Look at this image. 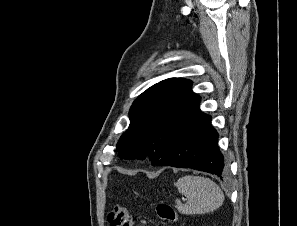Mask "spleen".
Returning a JSON list of instances; mask_svg holds the SVG:
<instances>
[{
	"instance_id": "obj_1",
	"label": "spleen",
	"mask_w": 297,
	"mask_h": 226,
	"mask_svg": "<svg viewBox=\"0 0 297 226\" xmlns=\"http://www.w3.org/2000/svg\"><path fill=\"white\" fill-rule=\"evenodd\" d=\"M179 193L187 197L182 204L176 200L177 210L186 215L204 214L219 208L224 201L220 187L207 177L186 175L174 184Z\"/></svg>"
}]
</instances>
